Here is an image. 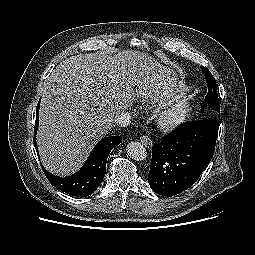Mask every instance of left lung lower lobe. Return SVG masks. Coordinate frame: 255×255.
<instances>
[{"label":"left lung lower lobe","mask_w":255,"mask_h":255,"mask_svg":"<svg viewBox=\"0 0 255 255\" xmlns=\"http://www.w3.org/2000/svg\"><path fill=\"white\" fill-rule=\"evenodd\" d=\"M219 123H188L152 147L148 181L154 192L174 196L191 187L213 157Z\"/></svg>","instance_id":"left-lung-lower-lobe-1"}]
</instances>
